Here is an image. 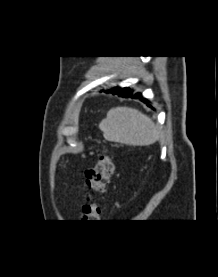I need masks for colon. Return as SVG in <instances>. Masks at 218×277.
<instances>
[{"instance_id": "obj_1", "label": "colon", "mask_w": 218, "mask_h": 277, "mask_svg": "<svg viewBox=\"0 0 218 277\" xmlns=\"http://www.w3.org/2000/svg\"><path fill=\"white\" fill-rule=\"evenodd\" d=\"M114 170V155L101 153L95 164L85 171L86 194L82 207L84 222H94L101 213V195L106 191Z\"/></svg>"}]
</instances>
